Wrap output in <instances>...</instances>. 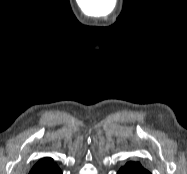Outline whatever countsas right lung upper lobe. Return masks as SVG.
<instances>
[{"label": "right lung upper lobe", "instance_id": "cb5924a9", "mask_svg": "<svg viewBox=\"0 0 187 174\" xmlns=\"http://www.w3.org/2000/svg\"><path fill=\"white\" fill-rule=\"evenodd\" d=\"M58 171L59 168L51 158H44L32 168L29 174H53Z\"/></svg>", "mask_w": 187, "mask_h": 174}]
</instances>
